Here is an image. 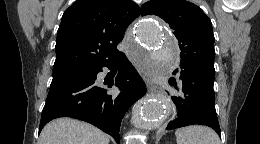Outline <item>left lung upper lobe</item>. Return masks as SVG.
Returning a JSON list of instances; mask_svg holds the SVG:
<instances>
[{
  "label": "left lung upper lobe",
  "mask_w": 260,
  "mask_h": 144,
  "mask_svg": "<svg viewBox=\"0 0 260 144\" xmlns=\"http://www.w3.org/2000/svg\"><path fill=\"white\" fill-rule=\"evenodd\" d=\"M141 15H157L174 30L181 50L180 66L215 77L212 24L198 6L185 0H152L142 5Z\"/></svg>",
  "instance_id": "left-lung-upper-lobe-1"
}]
</instances>
